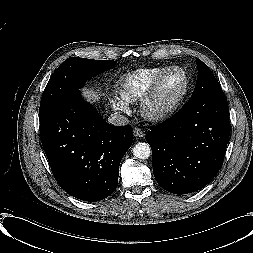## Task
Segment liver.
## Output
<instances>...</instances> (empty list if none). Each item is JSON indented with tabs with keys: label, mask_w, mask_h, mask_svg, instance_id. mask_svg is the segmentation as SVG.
<instances>
[{
	"label": "liver",
	"mask_w": 253,
	"mask_h": 253,
	"mask_svg": "<svg viewBox=\"0 0 253 253\" xmlns=\"http://www.w3.org/2000/svg\"><path fill=\"white\" fill-rule=\"evenodd\" d=\"M82 94L83 96L88 100V101H92L95 102L96 100H98V95L97 93L89 88H83L82 89Z\"/></svg>",
	"instance_id": "1"
}]
</instances>
